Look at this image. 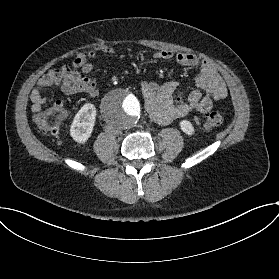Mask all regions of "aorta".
I'll return each instance as SVG.
<instances>
[{
	"label": "aorta",
	"instance_id": "aorta-1",
	"mask_svg": "<svg viewBox=\"0 0 279 279\" xmlns=\"http://www.w3.org/2000/svg\"><path fill=\"white\" fill-rule=\"evenodd\" d=\"M101 111L109 127L121 131L136 125L142 107L137 95L128 89L117 88L104 97Z\"/></svg>",
	"mask_w": 279,
	"mask_h": 279
}]
</instances>
